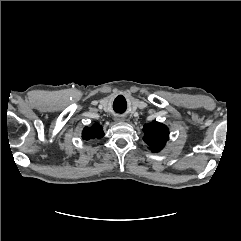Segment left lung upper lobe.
Instances as JSON below:
<instances>
[{
  "instance_id": "left-lung-upper-lobe-1",
  "label": "left lung upper lobe",
  "mask_w": 241,
  "mask_h": 241,
  "mask_svg": "<svg viewBox=\"0 0 241 241\" xmlns=\"http://www.w3.org/2000/svg\"><path fill=\"white\" fill-rule=\"evenodd\" d=\"M143 131V140L154 153L161 151L169 140V129L162 123L152 122L145 124Z\"/></svg>"
}]
</instances>
